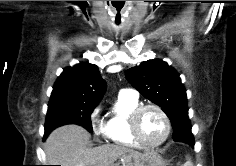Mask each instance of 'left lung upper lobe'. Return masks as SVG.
Here are the masks:
<instances>
[{
	"label": "left lung upper lobe",
	"mask_w": 236,
	"mask_h": 166,
	"mask_svg": "<svg viewBox=\"0 0 236 166\" xmlns=\"http://www.w3.org/2000/svg\"><path fill=\"white\" fill-rule=\"evenodd\" d=\"M128 81L147 99L162 108L172 122L191 130L186 90L179 74L166 62L154 59L126 70Z\"/></svg>",
	"instance_id": "5c2ea615"
}]
</instances>
